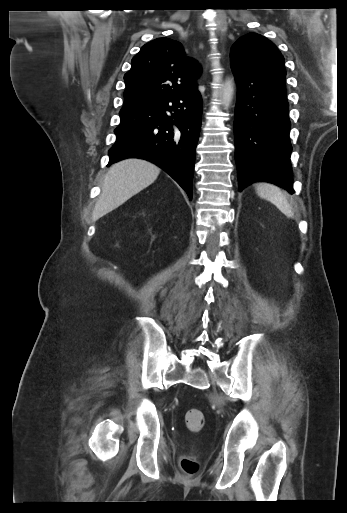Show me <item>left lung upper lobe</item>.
Listing matches in <instances>:
<instances>
[{"mask_svg":"<svg viewBox=\"0 0 347 513\" xmlns=\"http://www.w3.org/2000/svg\"><path fill=\"white\" fill-rule=\"evenodd\" d=\"M230 59L231 67L252 74L286 75L281 53L271 41L256 33L239 38L231 48Z\"/></svg>","mask_w":347,"mask_h":513,"instance_id":"left-lung-upper-lobe-1","label":"left lung upper lobe"}]
</instances>
